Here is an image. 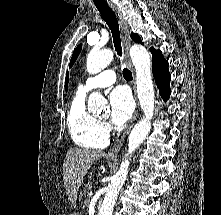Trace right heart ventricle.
<instances>
[{
  "label": "right heart ventricle",
  "instance_id": "e07e8e85",
  "mask_svg": "<svg viewBox=\"0 0 221 215\" xmlns=\"http://www.w3.org/2000/svg\"><path fill=\"white\" fill-rule=\"evenodd\" d=\"M86 93L76 91L67 113V127L72 141L79 147L88 149L103 148L108 143L102 132L101 122L86 108Z\"/></svg>",
  "mask_w": 221,
  "mask_h": 215
}]
</instances>
